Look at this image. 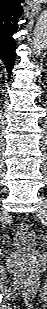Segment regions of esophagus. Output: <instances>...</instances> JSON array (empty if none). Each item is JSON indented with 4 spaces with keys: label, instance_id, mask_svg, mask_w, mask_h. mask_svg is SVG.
<instances>
[{
    "label": "esophagus",
    "instance_id": "esophagus-1",
    "mask_svg": "<svg viewBox=\"0 0 47 309\" xmlns=\"http://www.w3.org/2000/svg\"><path fill=\"white\" fill-rule=\"evenodd\" d=\"M40 10V5L36 4L33 0H28V6L25 8V14L28 16H33L38 14Z\"/></svg>",
    "mask_w": 47,
    "mask_h": 309
}]
</instances>
